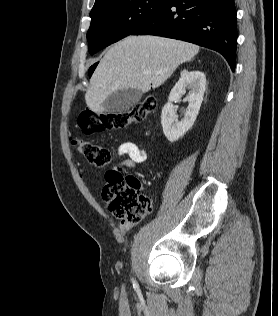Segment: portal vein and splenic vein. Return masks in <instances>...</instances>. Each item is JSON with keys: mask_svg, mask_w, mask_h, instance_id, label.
I'll list each match as a JSON object with an SVG mask.
<instances>
[{"mask_svg": "<svg viewBox=\"0 0 278 316\" xmlns=\"http://www.w3.org/2000/svg\"><path fill=\"white\" fill-rule=\"evenodd\" d=\"M144 73H146V74H147V73H149V72H148V71H146V72H144Z\"/></svg>", "mask_w": 278, "mask_h": 316, "instance_id": "obj_1", "label": "portal vein and splenic vein"}]
</instances>
